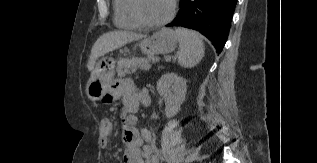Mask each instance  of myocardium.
I'll use <instances>...</instances> for the list:
<instances>
[{
	"label": "myocardium",
	"mask_w": 317,
	"mask_h": 163,
	"mask_svg": "<svg viewBox=\"0 0 317 163\" xmlns=\"http://www.w3.org/2000/svg\"><path fill=\"white\" fill-rule=\"evenodd\" d=\"M171 3V10L169 14L164 19L157 22H151L145 19L140 9V0H130V9L133 17L142 27L160 28L170 23L176 15L178 0H172Z\"/></svg>",
	"instance_id": "1"
}]
</instances>
